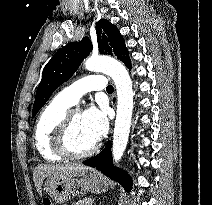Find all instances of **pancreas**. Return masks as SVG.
Returning <instances> with one entry per match:
<instances>
[{
    "mask_svg": "<svg viewBox=\"0 0 212 205\" xmlns=\"http://www.w3.org/2000/svg\"><path fill=\"white\" fill-rule=\"evenodd\" d=\"M92 204V199L90 198H84L82 200H79L72 205H91Z\"/></svg>",
    "mask_w": 212,
    "mask_h": 205,
    "instance_id": "1",
    "label": "pancreas"
}]
</instances>
